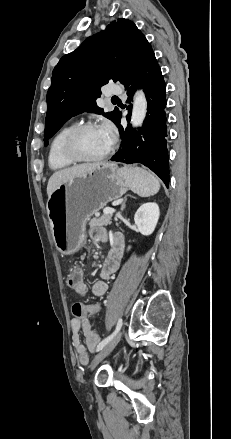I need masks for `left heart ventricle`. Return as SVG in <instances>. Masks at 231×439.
<instances>
[{"label":"left heart ventricle","instance_id":"b2bd125f","mask_svg":"<svg viewBox=\"0 0 231 439\" xmlns=\"http://www.w3.org/2000/svg\"><path fill=\"white\" fill-rule=\"evenodd\" d=\"M76 149L84 157H96L103 154L110 146L100 128L83 131L76 138Z\"/></svg>","mask_w":231,"mask_h":439}]
</instances>
